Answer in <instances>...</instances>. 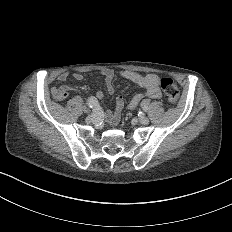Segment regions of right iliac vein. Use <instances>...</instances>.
Masks as SVG:
<instances>
[{"mask_svg":"<svg viewBox=\"0 0 232 232\" xmlns=\"http://www.w3.org/2000/svg\"><path fill=\"white\" fill-rule=\"evenodd\" d=\"M85 122L88 123V124H91V123H92V117H91V116H88V117L85 119Z\"/></svg>","mask_w":232,"mask_h":232,"instance_id":"1","label":"right iliac vein"}]
</instances>
